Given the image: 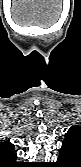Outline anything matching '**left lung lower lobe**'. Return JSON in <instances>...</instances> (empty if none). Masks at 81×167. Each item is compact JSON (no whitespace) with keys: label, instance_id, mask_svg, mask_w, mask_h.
I'll return each mask as SVG.
<instances>
[{"label":"left lung lower lobe","instance_id":"left-lung-lower-lobe-1","mask_svg":"<svg viewBox=\"0 0 81 167\" xmlns=\"http://www.w3.org/2000/svg\"><path fill=\"white\" fill-rule=\"evenodd\" d=\"M81 156L72 148L62 145L60 155L57 159L56 167H80Z\"/></svg>","mask_w":81,"mask_h":167}]
</instances>
